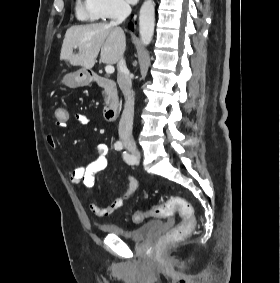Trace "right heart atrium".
Wrapping results in <instances>:
<instances>
[{
    "label": "right heart atrium",
    "mask_w": 280,
    "mask_h": 283,
    "mask_svg": "<svg viewBox=\"0 0 280 283\" xmlns=\"http://www.w3.org/2000/svg\"><path fill=\"white\" fill-rule=\"evenodd\" d=\"M92 16L101 20H112L126 16L130 11L127 0H87Z\"/></svg>",
    "instance_id": "obj_1"
}]
</instances>
